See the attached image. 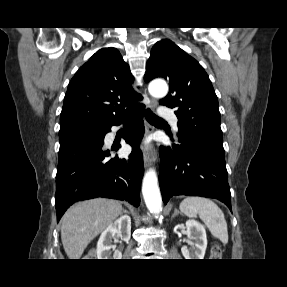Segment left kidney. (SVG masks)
<instances>
[{"label":"left kidney","instance_id":"obj_1","mask_svg":"<svg viewBox=\"0 0 287 287\" xmlns=\"http://www.w3.org/2000/svg\"><path fill=\"white\" fill-rule=\"evenodd\" d=\"M187 235L192 242V249L187 246L181 248V252L185 259H203L207 248V237L205 228L195 220L186 222Z\"/></svg>","mask_w":287,"mask_h":287}]
</instances>
